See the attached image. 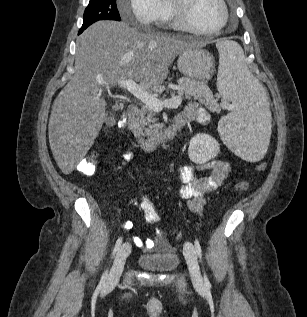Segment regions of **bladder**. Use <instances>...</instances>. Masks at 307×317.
<instances>
[{"mask_svg": "<svg viewBox=\"0 0 307 317\" xmlns=\"http://www.w3.org/2000/svg\"><path fill=\"white\" fill-rule=\"evenodd\" d=\"M137 264L149 271H172L179 264L178 254L175 252L165 254H144L137 258Z\"/></svg>", "mask_w": 307, "mask_h": 317, "instance_id": "31cf9c89", "label": "bladder"}]
</instances>
